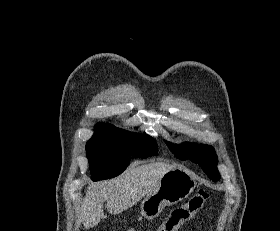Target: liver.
<instances>
[{
    "label": "liver",
    "mask_w": 280,
    "mask_h": 231,
    "mask_svg": "<svg viewBox=\"0 0 280 231\" xmlns=\"http://www.w3.org/2000/svg\"><path fill=\"white\" fill-rule=\"evenodd\" d=\"M170 169H173L172 165L164 161L136 165V167L129 165L115 179L90 183L78 209L84 227L86 229L94 227L101 217H105L104 201H107V209L110 213H121L153 191L159 179Z\"/></svg>",
    "instance_id": "liver-1"
}]
</instances>
